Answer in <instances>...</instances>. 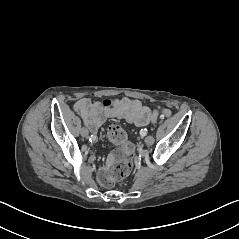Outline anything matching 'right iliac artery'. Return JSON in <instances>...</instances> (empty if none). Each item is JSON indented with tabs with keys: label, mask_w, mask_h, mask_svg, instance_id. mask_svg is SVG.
<instances>
[{
	"label": "right iliac artery",
	"mask_w": 239,
	"mask_h": 239,
	"mask_svg": "<svg viewBox=\"0 0 239 239\" xmlns=\"http://www.w3.org/2000/svg\"><path fill=\"white\" fill-rule=\"evenodd\" d=\"M90 140H91V142H96L97 141V137L95 135H91Z\"/></svg>",
	"instance_id": "1"
}]
</instances>
